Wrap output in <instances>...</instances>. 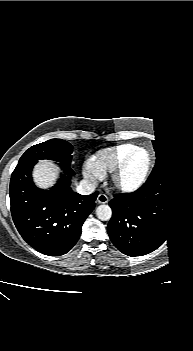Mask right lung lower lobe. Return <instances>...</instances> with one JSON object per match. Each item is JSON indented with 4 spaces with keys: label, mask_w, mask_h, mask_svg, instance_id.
I'll list each match as a JSON object with an SVG mask.
<instances>
[{
    "label": "right lung lower lobe",
    "mask_w": 193,
    "mask_h": 351,
    "mask_svg": "<svg viewBox=\"0 0 193 351\" xmlns=\"http://www.w3.org/2000/svg\"><path fill=\"white\" fill-rule=\"evenodd\" d=\"M34 159L20 160L11 176L10 203L13 221L23 239L35 250L49 255L66 254L78 241L82 225L96 206L98 191L80 195L70 187L74 174L61 164L64 173L50 190L32 181Z\"/></svg>",
    "instance_id": "1"
}]
</instances>
